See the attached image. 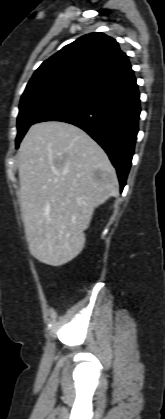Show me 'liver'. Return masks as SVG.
<instances>
[{
	"label": "liver",
	"instance_id": "liver-1",
	"mask_svg": "<svg viewBox=\"0 0 165 419\" xmlns=\"http://www.w3.org/2000/svg\"><path fill=\"white\" fill-rule=\"evenodd\" d=\"M18 155L29 251L42 263L61 266L82 251L94 209L118 195L116 171L86 132L58 121L31 126Z\"/></svg>",
	"mask_w": 165,
	"mask_h": 419
}]
</instances>
